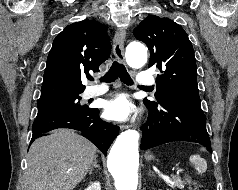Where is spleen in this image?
Instances as JSON below:
<instances>
[{"instance_id":"1","label":"spleen","mask_w":238,"mask_h":190,"mask_svg":"<svg viewBox=\"0 0 238 190\" xmlns=\"http://www.w3.org/2000/svg\"><path fill=\"white\" fill-rule=\"evenodd\" d=\"M190 162L195 166V169L199 174H203L206 172L207 162L199 155H192L190 157Z\"/></svg>"}]
</instances>
